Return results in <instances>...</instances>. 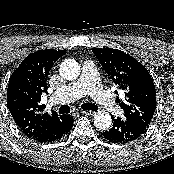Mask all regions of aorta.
I'll list each match as a JSON object with an SVG mask.
<instances>
[{"label":"aorta","mask_w":174,"mask_h":174,"mask_svg":"<svg viewBox=\"0 0 174 174\" xmlns=\"http://www.w3.org/2000/svg\"><path fill=\"white\" fill-rule=\"evenodd\" d=\"M62 78L72 81L80 75V65L74 59L64 60L59 68ZM94 126L99 130H107L111 127L112 119L109 113L98 111L93 117Z\"/></svg>","instance_id":"762f6f07"}]
</instances>
